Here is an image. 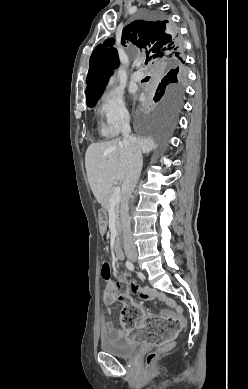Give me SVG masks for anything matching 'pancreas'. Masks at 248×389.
I'll return each mask as SVG.
<instances>
[{
    "mask_svg": "<svg viewBox=\"0 0 248 389\" xmlns=\"http://www.w3.org/2000/svg\"><path fill=\"white\" fill-rule=\"evenodd\" d=\"M115 187L112 186L106 196V198L104 199V201L102 202V212L104 213L105 217L107 216V213L108 211L110 210V198L113 194V191H114ZM114 210H115V217H116V229H117V232L118 234L120 233V230H121V225H120V219H119V203L115 204L114 206Z\"/></svg>",
    "mask_w": 248,
    "mask_h": 389,
    "instance_id": "1",
    "label": "pancreas"
}]
</instances>
